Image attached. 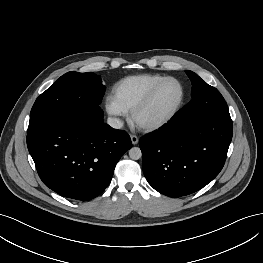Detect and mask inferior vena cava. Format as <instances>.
Segmentation results:
<instances>
[{
    "instance_id": "602c4592",
    "label": "inferior vena cava",
    "mask_w": 263,
    "mask_h": 263,
    "mask_svg": "<svg viewBox=\"0 0 263 263\" xmlns=\"http://www.w3.org/2000/svg\"><path fill=\"white\" fill-rule=\"evenodd\" d=\"M108 125L115 129H121L123 127V122L117 118L109 117L107 119Z\"/></svg>"
}]
</instances>
